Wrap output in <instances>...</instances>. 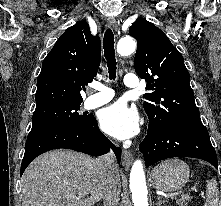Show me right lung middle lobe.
Here are the masks:
<instances>
[{
  "label": "right lung middle lobe",
  "instance_id": "obj_1",
  "mask_svg": "<svg viewBox=\"0 0 221 206\" xmlns=\"http://www.w3.org/2000/svg\"><path fill=\"white\" fill-rule=\"evenodd\" d=\"M80 103H56L36 107L32 129L54 125H82L90 122L92 115L79 114Z\"/></svg>",
  "mask_w": 221,
  "mask_h": 206
}]
</instances>
